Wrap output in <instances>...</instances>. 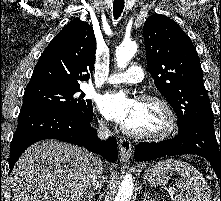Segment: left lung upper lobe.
<instances>
[{"label":"left lung upper lobe","mask_w":221,"mask_h":201,"mask_svg":"<svg viewBox=\"0 0 221 201\" xmlns=\"http://www.w3.org/2000/svg\"><path fill=\"white\" fill-rule=\"evenodd\" d=\"M147 65L154 83L178 117L179 129L192 123L213 125L197 51L172 19L154 14L143 27Z\"/></svg>","instance_id":"5c2ea615"}]
</instances>
